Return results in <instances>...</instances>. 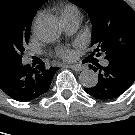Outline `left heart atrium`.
I'll return each instance as SVG.
<instances>
[{
    "label": "left heart atrium",
    "instance_id": "left-heart-atrium-1",
    "mask_svg": "<svg viewBox=\"0 0 135 135\" xmlns=\"http://www.w3.org/2000/svg\"><path fill=\"white\" fill-rule=\"evenodd\" d=\"M58 55L60 58L64 59V60H71L73 59L74 57V53L72 50L70 49H61L59 52H58Z\"/></svg>",
    "mask_w": 135,
    "mask_h": 135
}]
</instances>
